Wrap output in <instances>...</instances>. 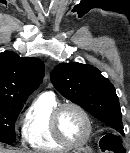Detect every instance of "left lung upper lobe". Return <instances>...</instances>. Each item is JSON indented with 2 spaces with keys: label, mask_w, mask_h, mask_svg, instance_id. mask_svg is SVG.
Instances as JSON below:
<instances>
[{
  "label": "left lung upper lobe",
  "mask_w": 130,
  "mask_h": 153,
  "mask_svg": "<svg viewBox=\"0 0 130 153\" xmlns=\"http://www.w3.org/2000/svg\"><path fill=\"white\" fill-rule=\"evenodd\" d=\"M51 81L65 98L124 133L115 88L97 68L80 63H60L51 72Z\"/></svg>",
  "instance_id": "left-lung-upper-lobe-1"
}]
</instances>
